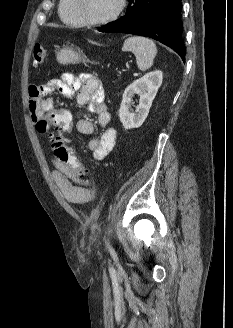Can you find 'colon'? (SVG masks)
Returning <instances> with one entry per match:
<instances>
[{
	"instance_id": "1",
	"label": "colon",
	"mask_w": 233,
	"mask_h": 328,
	"mask_svg": "<svg viewBox=\"0 0 233 328\" xmlns=\"http://www.w3.org/2000/svg\"><path fill=\"white\" fill-rule=\"evenodd\" d=\"M46 56L45 47L36 44L33 49V67L41 66ZM72 125L71 113L61 108L46 113L36 122V128L40 133H48L55 158L68 167L76 176L83 178L85 170L66 141V135L70 133Z\"/></svg>"
}]
</instances>
